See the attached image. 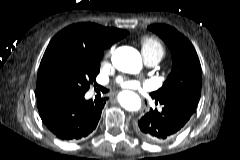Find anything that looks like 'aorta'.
I'll return each instance as SVG.
<instances>
[{"mask_svg":"<svg viewBox=\"0 0 240 160\" xmlns=\"http://www.w3.org/2000/svg\"><path fill=\"white\" fill-rule=\"evenodd\" d=\"M112 63L120 71L127 73L137 72L142 65L141 56L131 47H119L112 54ZM119 103L129 111L138 110L141 106L139 96L131 91H123L118 96Z\"/></svg>","mask_w":240,"mask_h":160,"instance_id":"obj_1","label":"aorta"}]
</instances>
